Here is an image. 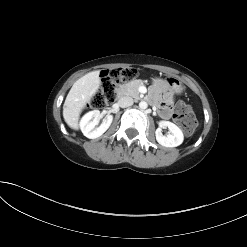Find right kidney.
<instances>
[{
    "label": "right kidney",
    "mask_w": 247,
    "mask_h": 247,
    "mask_svg": "<svg viewBox=\"0 0 247 247\" xmlns=\"http://www.w3.org/2000/svg\"><path fill=\"white\" fill-rule=\"evenodd\" d=\"M100 119V111L93 110L86 113L80 121V129L84 136L89 139L100 137L111 125L113 116L108 114L102 124L96 128Z\"/></svg>",
    "instance_id": "right-kidney-1"
}]
</instances>
